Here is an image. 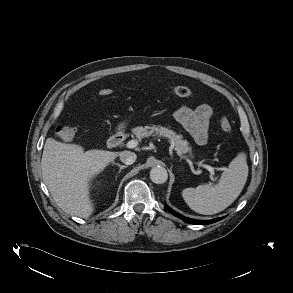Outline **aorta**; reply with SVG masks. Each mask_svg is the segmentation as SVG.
Returning a JSON list of instances; mask_svg holds the SVG:
<instances>
[{
  "mask_svg": "<svg viewBox=\"0 0 293 293\" xmlns=\"http://www.w3.org/2000/svg\"><path fill=\"white\" fill-rule=\"evenodd\" d=\"M150 179L156 184H163L168 179L167 170L162 166L153 167L150 171Z\"/></svg>",
  "mask_w": 293,
  "mask_h": 293,
  "instance_id": "762f6f07",
  "label": "aorta"
}]
</instances>
